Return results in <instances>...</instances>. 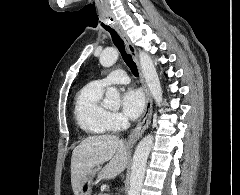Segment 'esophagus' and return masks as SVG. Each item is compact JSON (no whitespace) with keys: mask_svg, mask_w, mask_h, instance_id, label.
Segmentation results:
<instances>
[{"mask_svg":"<svg viewBox=\"0 0 240 195\" xmlns=\"http://www.w3.org/2000/svg\"><path fill=\"white\" fill-rule=\"evenodd\" d=\"M112 27L116 30V32H118V34L120 35V37L124 41L128 52L133 57V60L135 61L136 65H137L139 75H140V79H141V83L144 87V91H145V94H146V104H145L143 115L140 118V120L138 121L136 127L130 132V134L128 136V144L130 146H133L137 142V140H139V138L142 137L143 133L147 130V128L150 125L151 118H152V113H153V106H152L153 105V100H152V97H151L150 92L148 90V87H147L146 83L144 82V77H143V74H142L141 66H140V63H139V59H138V55H137V52L135 50V47L131 43V40L129 39L127 33L123 30L121 25L112 24Z\"/></svg>","mask_w":240,"mask_h":195,"instance_id":"34e87169","label":"esophagus"}]
</instances>
